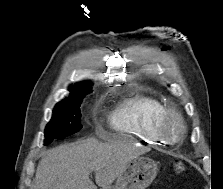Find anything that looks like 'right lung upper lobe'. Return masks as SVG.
I'll list each match as a JSON object with an SVG mask.
<instances>
[{"label":"right lung upper lobe","instance_id":"1","mask_svg":"<svg viewBox=\"0 0 223 189\" xmlns=\"http://www.w3.org/2000/svg\"><path fill=\"white\" fill-rule=\"evenodd\" d=\"M69 91L71 92L70 96L84 93V92L90 91V84L88 82L75 84L74 86H70Z\"/></svg>","mask_w":223,"mask_h":189}]
</instances>
